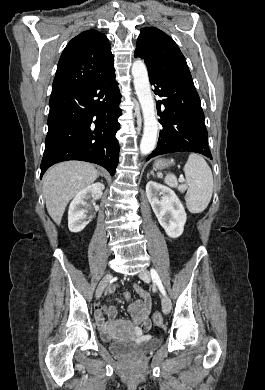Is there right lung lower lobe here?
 <instances>
[{"mask_svg": "<svg viewBox=\"0 0 265 390\" xmlns=\"http://www.w3.org/2000/svg\"><path fill=\"white\" fill-rule=\"evenodd\" d=\"M115 69L73 88L51 94L41 177L53 164L82 160L99 164L113 176L119 159L115 137L121 94Z\"/></svg>", "mask_w": 265, "mask_h": 390, "instance_id": "98d812e1", "label": "right lung lower lobe"}]
</instances>
